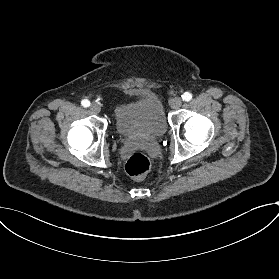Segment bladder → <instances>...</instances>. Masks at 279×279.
Masks as SVG:
<instances>
[{
    "instance_id": "bladder-1",
    "label": "bladder",
    "mask_w": 279,
    "mask_h": 279,
    "mask_svg": "<svg viewBox=\"0 0 279 279\" xmlns=\"http://www.w3.org/2000/svg\"><path fill=\"white\" fill-rule=\"evenodd\" d=\"M113 121L121 138L139 140L158 138L167 132L168 121L159 97L151 91H138L133 97L117 102Z\"/></svg>"
}]
</instances>
